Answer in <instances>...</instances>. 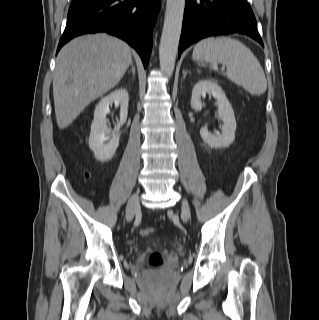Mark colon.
I'll list each match as a JSON object with an SVG mask.
<instances>
[{
	"instance_id": "1",
	"label": "colon",
	"mask_w": 319,
	"mask_h": 320,
	"mask_svg": "<svg viewBox=\"0 0 319 320\" xmlns=\"http://www.w3.org/2000/svg\"><path fill=\"white\" fill-rule=\"evenodd\" d=\"M154 230L152 228H143L140 231L141 236L148 237L152 235ZM163 257L160 252L154 251L148 257V265L152 268H160L163 265Z\"/></svg>"
}]
</instances>
